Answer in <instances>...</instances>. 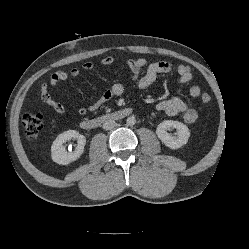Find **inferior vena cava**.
I'll list each match as a JSON object with an SVG mask.
<instances>
[{"mask_svg":"<svg viewBox=\"0 0 249 249\" xmlns=\"http://www.w3.org/2000/svg\"><path fill=\"white\" fill-rule=\"evenodd\" d=\"M116 123L112 119H108L103 123V129L105 130H111L115 127Z\"/></svg>","mask_w":249,"mask_h":249,"instance_id":"1","label":"inferior vena cava"}]
</instances>
